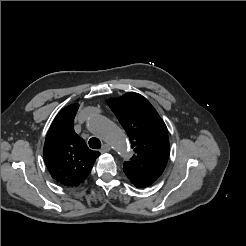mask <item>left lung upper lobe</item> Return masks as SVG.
<instances>
[{
    "label": "left lung upper lobe",
    "mask_w": 246,
    "mask_h": 246,
    "mask_svg": "<svg viewBox=\"0 0 246 246\" xmlns=\"http://www.w3.org/2000/svg\"><path fill=\"white\" fill-rule=\"evenodd\" d=\"M108 105L125 129L135 154L123 169L150 182L156 181L169 157L168 131L164 121L142 95L134 92L111 98Z\"/></svg>",
    "instance_id": "obj_1"
}]
</instances>
